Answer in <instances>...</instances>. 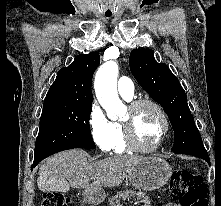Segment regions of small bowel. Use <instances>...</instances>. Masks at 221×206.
I'll list each match as a JSON object with an SVG mask.
<instances>
[{"mask_svg": "<svg viewBox=\"0 0 221 206\" xmlns=\"http://www.w3.org/2000/svg\"><path fill=\"white\" fill-rule=\"evenodd\" d=\"M165 206H179V205L174 204V203H170V204H167V205H165Z\"/></svg>", "mask_w": 221, "mask_h": 206, "instance_id": "small-bowel-1", "label": "small bowel"}]
</instances>
